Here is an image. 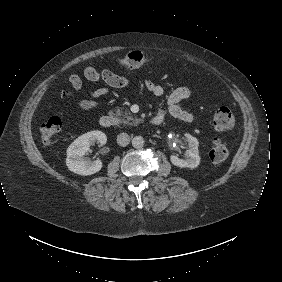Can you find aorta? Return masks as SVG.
I'll return each instance as SVG.
<instances>
[{
	"mask_svg": "<svg viewBox=\"0 0 282 282\" xmlns=\"http://www.w3.org/2000/svg\"><path fill=\"white\" fill-rule=\"evenodd\" d=\"M145 139L142 136H134L132 139V146L136 149H140L144 146Z\"/></svg>",
	"mask_w": 282,
	"mask_h": 282,
	"instance_id": "obj_1",
	"label": "aorta"
}]
</instances>
